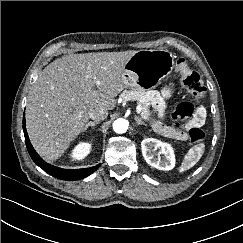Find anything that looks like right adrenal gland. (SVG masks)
I'll return each instance as SVG.
<instances>
[{"label": "right adrenal gland", "mask_w": 243, "mask_h": 243, "mask_svg": "<svg viewBox=\"0 0 243 243\" xmlns=\"http://www.w3.org/2000/svg\"><path fill=\"white\" fill-rule=\"evenodd\" d=\"M97 124H98V121H90L89 123H87V125H86V127H85V130H87L88 127H92V128H94L95 125H97Z\"/></svg>", "instance_id": "1"}]
</instances>
